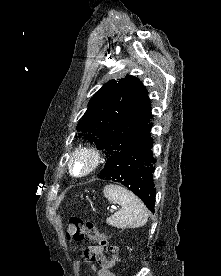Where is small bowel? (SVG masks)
<instances>
[{"label": "small bowel", "mask_w": 221, "mask_h": 276, "mask_svg": "<svg viewBox=\"0 0 221 276\" xmlns=\"http://www.w3.org/2000/svg\"><path fill=\"white\" fill-rule=\"evenodd\" d=\"M84 256L87 262L90 263L92 271L97 276H115L110 268L107 267L108 259L104 254L103 248L94 245L89 246L85 252Z\"/></svg>", "instance_id": "1"}]
</instances>
